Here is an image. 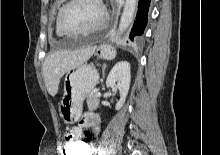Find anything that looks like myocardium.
<instances>
[{
	"mask_svg": "<svg viewBox=\"0 0 220 155\" xmlns=\"http://www.w3.org/2000/svg\"><path fill=\"white\" fill-rule=\"evenodd\" d=\"M78 0H68L65 4L62 5V7L59 9V12L57 14V18H56V27L59 30L60 33L64 34V35H68V36H75V35H83V34H89L92 32H95L99 29H101L107 22L108 19V12L106 9L105 4L103 3L102 0H97L98 3L101 5L102 10H103V17L101 19V21L96 24L95 26L91 27V28H87V29H81V30H68L64 27L63 23H62V17L63 14L65 12V10L71 6L73 3H75Z\"/></svg>",
	"mask_w": 220,
	"mask_h": 155,
	"instance_id": "myocardium-1",
	"label": "myocardium"
}]
</instances>
